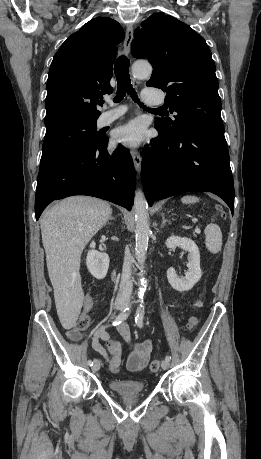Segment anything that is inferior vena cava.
I'll return each instance as SVG.
<instances>
[{"mask_svg":"<svg viewBox=\"0 0 261 459\" xmlns=\"http://www.w3.org/2000/svg\"><path fill=\"white\" fill-rule=\"evenodd\" d=\"M131 265L132 256L130 254L129 249H126L124 255L120 287L116 298V303L118 304L127 303L130 300L133 287V283L131 280Z\"/></svg>","mask_w":261,"mask_h":459,"instance_id":"1","label":"inferior vena cava"}]
</instances>
